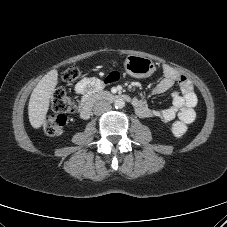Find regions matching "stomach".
<instances>
[{"mask_svg":"<svg viewBox=\"0 0 227 227\" xmlns=\"http://www.w3.org/2000/svg\"><path fill=\"white\" fill-rule=\"evenodd\" d=\"M124 68L130 76L135 78H147L155 71L154 62L140 55L127 56Z\"/></svg>","mask_w":227,"mask_h":227,"instance_id":"stomach-1","label":"stomach"}]
</instances>
